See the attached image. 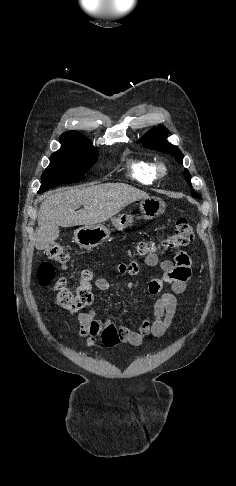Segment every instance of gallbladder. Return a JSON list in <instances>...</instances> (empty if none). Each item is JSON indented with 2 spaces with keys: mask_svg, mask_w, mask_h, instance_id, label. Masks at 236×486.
Segmentation results:
<instances>
[{
  "mask_svg": "<svg viewBox=\"0 0 236 486\" xmlns=\"http://www.w3.org/2000/svg\"><path fill=\"white\" fill-rule=\"evenodd\" d=\"M59 236V227L56 224H50L42 231V241L37 243L39 250L45 249Z\"/></svg>",
  "mask_w": 236,
  "mask_h": 486,
  "instance_id": "gallbladder-1",
  "label": "gallbladder"
}]
</instances>
